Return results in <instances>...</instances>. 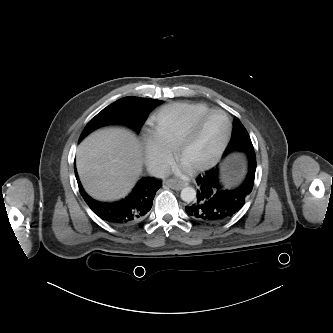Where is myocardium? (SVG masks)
<instances>
[{
  "mask_svg": "<svg viewBox=\"0 0 333 333\" xmlns=\"http://www.w3.org/2000/svg\"><path fill=\"white\" fill-rule=\"evenodd\" d=\"M213 114H221L225 117V119L227 121V129H226V132H225L221 142L219 143L217 149L215 150L214 154L212 155V157L209 160H207L206 162H203L201 164H198V165H195V166L189 168L190 171H192L194 173L203 172V171L208 170V169L212 168L213 166H215L218 163V161L220 160V158L222 157L223 153L225 152V150L229 144V141H230V138L232 135V128H233L232 120H231L229 114L222 109H218V108L210 109L208 112H206L202 116L195 119L189 125V127L186 129V131L184 132V134L181 136V138L179 139V141L177 142V144L174 147L175 158H176V160L179 161L182 153L184 152V150L187 148V146L189 145V143L191 142V140L197 133L201 124Z\"/></svg>",
  "mask_w": 333,
  "mask_h": 333,
  "instance_id": "myocardium-1",
  "label": "myocardium"
}]
</instances>
